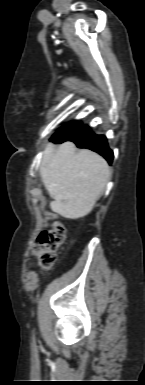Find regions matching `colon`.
I'll list each match as a JSON object with an SVG mask.
<instances>
[{"instance_id":"obj_1","label":"colon","mask_w":145,"mask_h":385,"mask_svg":"<svg viewBox=\"0 0 145 385\" xmlns=\"http://www.w3.org/2000/svg\"><path fill=\"white\" fill-rule=\"evenodd\" d=\"M65 234V227L59 222L53 223L50 228L40 234L33 252L42 269L47 270L54 264L57 250L64 243Z\"/></svg>"}]
</instances>
